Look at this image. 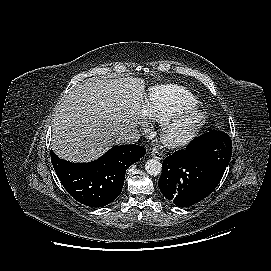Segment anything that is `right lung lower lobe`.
<instances>
[{"mask_svg": "<svg viewBox=\"0 0 271 271\" xmlns=\"http://www.w3.org/2000/svg\"><path fill=\"white\" fill-rule=\"evenodd\" d=\"M139 145L114 146L95 161L72 163L51 150L54 170L66 191L78 202L103 207L121 193L128 167L145 155Z\"/></svg>", "mask_w": 271, "mask_h": 271, "instance_id": "obj_1", "label": "right lung lower lobe"}]
</instances>
